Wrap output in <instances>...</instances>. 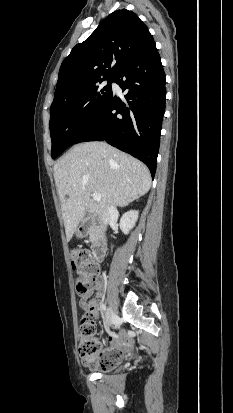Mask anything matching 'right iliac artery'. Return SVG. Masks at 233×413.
Instances as JSON below:
<instances>
[{
    "label": "right iliac artery",
    "mask_w": 233,
    "mask_h": 413,
    "mask_svg": "<svg viewBox=\"0 0 233 413\" xmlns=\"http://www.w3.org/2000/svg\"><path fill=\"white\" fill-rule=\"evenodd\" d=\"M105 310H106V306H105V304H102V305H101V311L104 313Z\"/></svg>",
    "instance_id": "1"
}]
</instances>
